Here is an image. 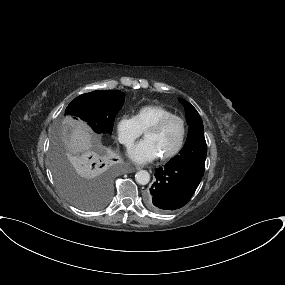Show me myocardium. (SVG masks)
Wrapping results in <instances>:
<instances>
[{"mask_svg":"<svg viewBox=\"0 0 285 285\" xmlns=\"http://www.w3.org/2000/svg\"><path fill=\"white\" fill-rule=\"evenodd\" d=\"M172 120L180 121V123L182 125V136H181L179 144L177 145V147L173 151H171L170 153H168L166 155H162V156L158 157L161 161H167V160H170V159L174 158L183 149V147L185 145L186 137H187V124H186V121L181 116L173 114V115L161 118L160 120H158L157 122H155L154 124L149 126L143 132L144 136H145L146 133H149V132H157V131L161 130L167 123H169Z\"/></svg>","mask_w":285,"mask_h":285,"instance_id":"obj_1","label":"myocardium"}]
</instances>
